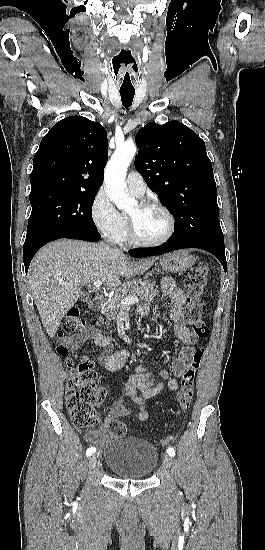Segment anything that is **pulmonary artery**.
Returning a JSON list of instances; mask_svg holds the SVG:
<instances>
[{"label":"pulmonary artery","mask_w":265,"mask_h":550,"mask_svg":"<svg viewBox=\"0 0 265 550\" xmlns=\"http://www.w3.org/2000/svg\"><path fill=\"white\" fill-rule=\"evenodd\" d=\"M126 185L129 192L137 197H142L146 191V183L142 176L136 171H131L127 175Z\"/></svg>","instance_id":"e3ab8cb5"}]
</instances>
